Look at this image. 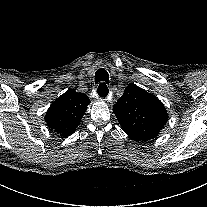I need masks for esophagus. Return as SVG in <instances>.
<instances>
[{"instance_id":"obj_1","label":"esophagus","mask_w":207,"mask_h":207,"mask_svg":"<svg viewBox=\"0 0 207 207\" xmlns=\"http://www.w3.org/2000/svg\"><path fill=\"white\" fill-rule=\"evenodd\" d=\"M94 96L97 98L100 102L105 103L109 100V89L106 85L101 84L97 88L94 89Z\"/></svg>"}]
</instances>
